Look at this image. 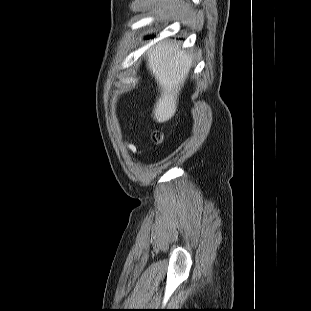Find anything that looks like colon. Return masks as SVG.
Listing matches in <instances>:
<instances>
[{
    "label": "colon",
    "mask_w": 311,
    "mask_h": 311,
    "mask_svg": "<svg viewBox=\"0 0 311 311\" xmlns=\"http://www.w3.org/2000/svg\"><path fill=\"white\" fill-rule=\"evenodd\" d=\"M154 139L158 142H160L163 139V135L160 132L154 133Z\"/></svg>",
    "instance_id": "obj_1"
}]
</instances>
